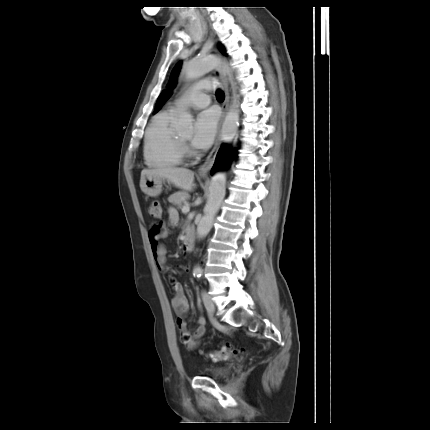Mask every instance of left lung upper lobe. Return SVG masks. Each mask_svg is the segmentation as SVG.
I'll return each instance as SVG.
<instances>
[{"label": "left lung upper lobe", "instance_id": "obj_1", "mask_svg": "<svg viewBox=\"0 0 430 430\" xmlns=\"http://www.w3.org/2000/svg\"><path fill=\"white\" fill-rule=\"evenodd\" d=\"M221 49H222V52L223 53H225V51H224V48L221 46ZM180 67H181V64L180 63H178V64H176V66L174 67V69L172 70V73H171V76H170V80H169V83H168V85H169V89H172L173 88V86H174V84H175V80H176V77H177V75H178V72H179V70H180ZM170 96V93L169 92H166V93H162L160 96H159V98H158V100H157V104H156V108H155V111H154V113H156V112H158L159 111V109L161 108V105L168 99V97Z\"/></svg>", "mask_w": 430, "mask_h": 430}]
</instances>
